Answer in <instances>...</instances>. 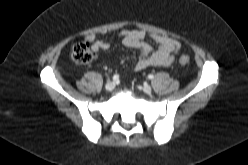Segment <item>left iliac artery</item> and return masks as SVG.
<instances>
[{
	"mask_svg": "<svg viewBox=\"0 0 248 165\" xmlns=\"http://www.w3.org/2000/svg\"><path fill=\"white\" fill-rule=\"evenodd\" d=\"M148 78H149V79H153L154 76H153L152 74H149V75H148Z\"/></svg>",
	"mask_w": 248,
	"mask_h": 165,
	"instance_id": "obj_1",
	"label": "left iliac artery"
}]
</instances>
